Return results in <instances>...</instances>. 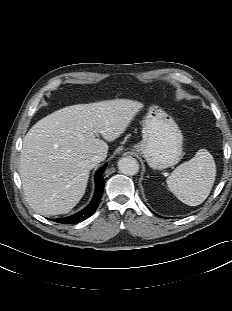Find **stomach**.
I'll use <instances>...</instances> for the list:
<instances>
[{
  "mask_svg": "<svg viewBox=\"0 0 232 311\" xmlns=\"http://www.w3.org/2000/svg\"><path fill=\"white\" fill-rule=\"evenodd\" d=\"M183 135L176 122L158 106L148 109L143 122L142 140L134 145L148 165L163 170L182 158Z\"/></svg>",
  "mask_w": 232,
  "mask_h": 311,
  "instance_id": "stomach-1",
  "label": "stomach"
}]
</instances>
